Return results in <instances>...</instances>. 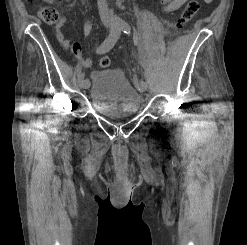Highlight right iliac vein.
<instances>
[{
  "instance_id": "63e3f726",
  "label": "right iliac vein",
  "mask_w": 247,
  "mask_h": 245,
  "mask_svg": "<svg viewBox=\"0 0 247 245\" xmlns=\"http://www.w3.org/2000/svg\"><path fill=\"white\" fill-rule=\"evenodd\" d=\"M79 86L81 89H86L90 86V83L88 80H85L82 84L79 83Z\"/></svg>"
}]
</instances>
